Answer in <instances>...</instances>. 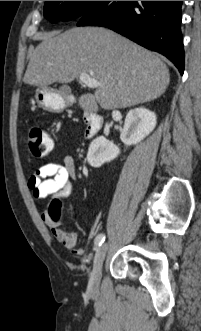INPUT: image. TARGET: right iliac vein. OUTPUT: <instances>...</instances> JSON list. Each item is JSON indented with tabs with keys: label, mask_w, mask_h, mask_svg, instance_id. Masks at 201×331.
Masks as SVG:
<instances>
[{
	"label": "right iliac vein",
	"mask_w": 201,
	"mask_h": 331,
	"mask_svg": "<svg viewBox=\"0 0 201 331\" xmlns=\"http://www.w3.org/2000/svg\"><path fill=\"white\" fill-rule=\"evenodd\" d=\"M108 244L104 243L96 249V254L93 263V269L90 274L88 291L91 294H94L98 291L101 275H102V266L107 253Z\"/></svg>",
	"instance_id": "1"
}]
</instances>
